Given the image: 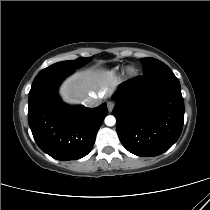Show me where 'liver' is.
Here are the masks:
<instances>
[{
    "label": "liver",
    "instance_id": "obj_1",
    "mask_svg": "<svg viewBox=\"0 0 210 210\" xmlns=\"http://www.w3.org/2000/svg\"><path fill=\"white\" fill-rule=\"evenodd\" d=\"M118 84L119 79L109 72L88 69L66 79L60 87V95L65 102L76 103L88 96H111Z\"/></svg>",
    "mask_w": 210,
    "mask_h": 210
}]
</instances>
